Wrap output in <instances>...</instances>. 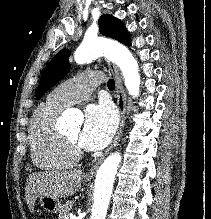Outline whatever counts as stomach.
Listing matches in <instances>:
<instances>
[{
    "mask_svg": "<svg viewBox=\"0 0 211 219\" xmlns=\"http://www.w3.org/2000/svg\"><path fill=\"white\" fill-rule=\"evenodd\" d=\"M38 204L49 213H57L61 209V202L59 199L51 196H39Z\"/></svg>",
    "mask_w": 211,
    "mask_h": 219,
    "instance_id": "obj_1",
    "label": "stomach"
}]
</instances>
